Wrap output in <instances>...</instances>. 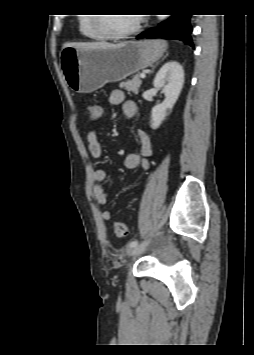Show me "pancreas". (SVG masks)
Listing matches in <instances>:
<instances>
[{"instance_id":"obj_1","label":"pancreas","mask_w":254,"mask_h":355,"mask_svg":"<svg viewBox=\"0 0 254 355\" xmlns=\"http://www.w3.org/2000/svg\"><path fill=\"white\" fill-rule=\"evenodd\" d=\"M141 83H142V81H141L140 76L139 75H135V76H133L132 79H129V80L124 81V82H121L119 84V87L120 88H124L125 90L128 91V93L132 92V93L137 95L138 92H139V88L141 86Z\"/></svg>"}]
</instances>
